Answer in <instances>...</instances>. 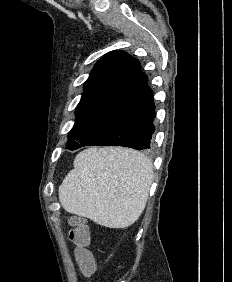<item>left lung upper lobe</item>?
Wrapping results in <instances>:
<instances>
[{
	"label": "left lung upper lobe",
	"mask_w": 232,
	"mask_h": 282,
	"mask_svg": "<svg viewBox=\"0 0 232 282\" xmlns=\"http://www.w3.org/2000/svg\"><path fill=\"white\" fill-rule=\"evenodd\" d=\"M138 64V60L124 51L110 52L95 64L76 108V121L68 134V147L89 139L101 111Z\"/></svg>",
	"instance_id": "5c2ea615"
}]
</instances>
